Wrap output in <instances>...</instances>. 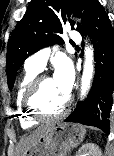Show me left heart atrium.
<instances>
[{
    "label": "left heart atrium",
    "mask_w": 114,
    "mask_h": 156,
    "mask_svg": "<svg viewBox=\"0 0 114 156\" xmlns=\"http://www.w3.org/2000/svg\"><path fill=\"white\" fill-rule=\"evenodd\" d=\"M53 80L59 90L69 96L74 82V69L69 59L62 58L56 62Z\"/></svg>",
    "instance_id": "left-heart-atrium-1"
}]
</instances>
